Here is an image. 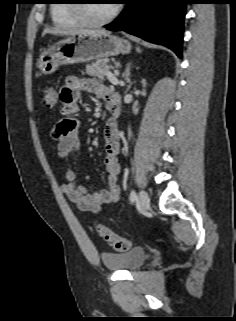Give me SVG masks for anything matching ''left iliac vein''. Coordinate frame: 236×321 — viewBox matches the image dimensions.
Segmentation results:
<instances>
[{"mask_svg": "<svg viewBox=\"0 0 236 321\" xmlns=\"http://www.w3.org/2000/svg\"><path fill=\"white\" fill-rule=\"evenodd\" d=\"M139 205L142 211H145L150 206V199L146 191L141 190L139 193Z\"/></svg>", "mask_w": 236, "mask_h": 321, "instance_id": "obj_1", "label": "left iliac vein"}]
</instances>
